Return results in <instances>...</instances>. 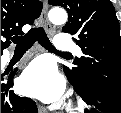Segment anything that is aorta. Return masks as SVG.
<instances>
[{
  "instance_id": "aorta-1",
  "label": "aorta",
  "mask_w": 121,
  "mask_h": 113,
  "mask_svg": "<svg viewBox=\"0 0 121 113\" xmlns=\"http://www.w3.org/2000/svg\"><path fill=\"white\" fill-rule=\"evenodd\" d=\"M49 20L55 25H62L67 21V13L64 9L53 8L48 14Z\"/></svg>"
}]
</instances>
